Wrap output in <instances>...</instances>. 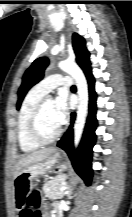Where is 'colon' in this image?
<instances>
[{
    "mask_svg": "<svg viewBox=\"0 0 132 217\" xmlns=\"http://www.w3.org/2000/svg\"><path fill=\"white\" fill-rule=\"evenodd\" d=\"M41 194L38 189L30 191L26 197V205L31 210L32 217H41Z\"/></svg>",
    "mask_w": 132,
    "mask_h": 217,
    "instance_id": "5ec220e1",
    "label": "colon"
}]
</instances>
